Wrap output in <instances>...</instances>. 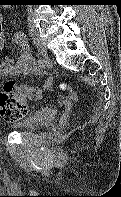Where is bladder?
<instances>
[{
  "instance_id": "bladder-1",
  "label": "bladder",
  "mask_w": 121,
  "mask_h": 197,
  "mask_svg": "<svg viewBox=\"0 0 121 197\" xmlns=\"http://www.w3.org/2000/svg\"><path fill=\"white\" fill-rule=\"evenodd\" d=\"M54 118L52 110L48 107L37 110L34 114L12 125V128L19 130H30L40 126L42 123Z\"/></svg>"
}]
</instances>
